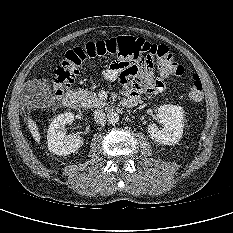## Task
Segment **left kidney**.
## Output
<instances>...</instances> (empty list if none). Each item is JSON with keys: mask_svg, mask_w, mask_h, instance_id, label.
Instances as JSON below:
<instances>
[{"mask_svg": "<svg viewBox=\"0 0 233 233\" xmlns=\"http://www.w3.org/2000/svg\"><path fill=\"white\" fill-rule=\"evenodd\" d=\"M158 118L163 126L159 129L155 123L147 127L150 137L160 144L177 143L183 134L184 110L177 105H163L158 109Z\"/></svg>", "mask_w": 233, "mask_h": 233, "instance_id": "left-kidney-1", "label": "left kidney"}]
</instances>
